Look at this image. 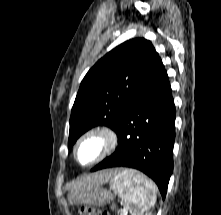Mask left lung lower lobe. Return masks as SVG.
Masks as SVG:
<instances>
[{"instance_id":"left-lung-lower-lobe-1","label":"left lung lower lobe","mask_w":221,"mask_h":215,"mask_svg":"<svg viewBox=\"0 0 221 215\" xmlns=\"http://www.w3.org/2000/svg\"><path fill=\"white\" fill-rule=\"evenodd\" d=\"M175 106L164 65L158 57L144 83L121 112L116 151L91 171L130 167L157 184L162 198L173 172Z\"/></svg>"}]
</instances>
